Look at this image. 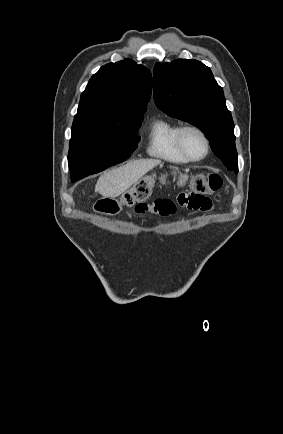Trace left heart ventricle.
I'll list each match as a JSON object with an SVG mask.
<instances>
[{"instance_id": "1", "label": "left heart ventricle", "mask_w": 283, "mask_h": 434, "mask_svg": "<svg viewBox=\"0 0 283 434\" xmlns=\"http://www.w3.org/2000/svg\"><path fill=\"white\" fill-rule=\"evenodd\" d=\"M183 142L186 150L193 157H199L205 151L204 141L201 136L195 131H187L184 134Z\"/></svg>"}]
</instances>
